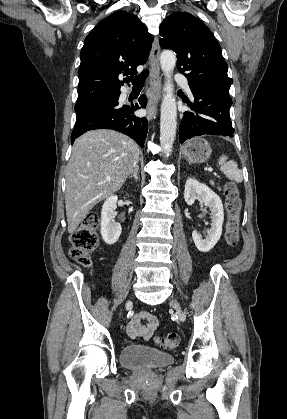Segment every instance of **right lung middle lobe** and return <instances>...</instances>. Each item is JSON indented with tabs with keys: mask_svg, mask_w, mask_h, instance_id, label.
<instances>
[{
	"mask_svg": "<svg viewBox=\"0 0 287 419\" xmlns=\"http://www.w3.org/2000/svg\"><path fill=\"white\" fill-rule=\"evenodd\" d=\"M118 97L119 96L109 97V98H106V99H102V100L90 103L88 105L75 107L76 118H79V117L83 116L84 114H86V113H88V112H90L94 109L100 108V107H102L104 105H107V104H110V103H113V102L117 101Z\"/></svg>",
	"mask_w": 287,
	"mask_h": 419,
	"instance_id": "right-lung-middle-lobe-1",
	"label": "right lung middle lobe"
}]
</instances>
